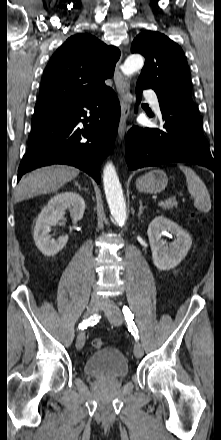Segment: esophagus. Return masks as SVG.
I'll return each instance as SVG.
<instances>
[{
	"label": "esophagus",
	"mask_w": 221,
	"mask_h": 440,
	"mask_svg": "<svg viewBox=\"0 0 221 440\" xmlns=\"http://www.w3.org/2000/svg\"><path fill=\"white\" fill-rule=\"evenodd\" d=\"M121 61H122V56L116 65V69L114 73V81L121 103V116L118 127V135L120 140H122L125 135L126 123L128 116L130 114V107L132 102V95L129 90V85L120 71Z\"/></svg>",
	"instance_id": "1"
}]
</instances>
